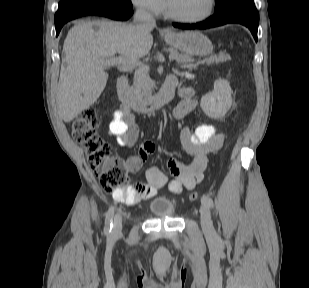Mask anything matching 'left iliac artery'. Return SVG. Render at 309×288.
Segmentation results:
<instances>
[{
    "label": "left iliac artery",
    "mask_w": 309,
    "mask_h": 288,
    "mask_svg": "<svg viewBox=\"0 0 309 288\" xmlns=\"http://www.w3.org/2000/svg\"><path fill=\"white\" fill-rule=\"evenodd\" d=\"M201 202L206 203L209 207H213V200L208 195H204L201 198Z\"/></svg>",
    "instance_id": "obj_1"
}]
</instances>
